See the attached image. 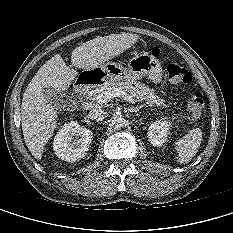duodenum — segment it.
<instances>
[{"label": "duodenum", "mask_w": 233, "mask_h": 233, "mask_svg": "<svg viewBox=\"0 0 233 233\" xmlns=\"http://www.w3.org/2000/svg\"><path fill=\"white\" fill-rule=\"evenodd\" d=\"M102 80L101 74L88 73L80 76L74 84V90L78 93L85 91Z\"/></svg>", "instance_id": "1"}]
</instances>
